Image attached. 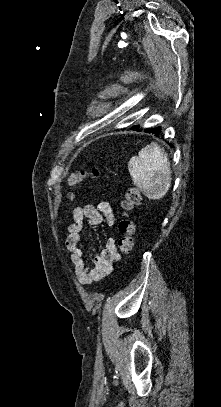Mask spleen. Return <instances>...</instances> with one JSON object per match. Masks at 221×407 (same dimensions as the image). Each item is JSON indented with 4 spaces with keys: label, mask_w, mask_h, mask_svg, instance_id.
Returning a JSON list of instances; mask_svg holds the SVG:
<instances>
[{
    "label": "spleen",
    "mask_w": 221,
    "mask_h": 407,
    "mask_svg": "<svg viewBox=\"0 0 221 407\" xmlns=\"http://www.w3.org/2000/svg\"><path fill=\"white\" fill-rule=\"evenodd\" d=\"M134 185L149 199L163 198L171 185L168 155L156 142L141 149L128 163Z\"/></svg>",
    "instance_id": "1"
}]
</instances>
